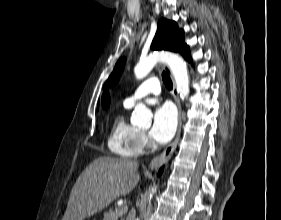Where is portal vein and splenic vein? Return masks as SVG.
Masks as SVG:
<instances>
[{
    "label": "portal vein and splenic vein",
    "instance_id": "portal-vein-and-splenic-vein-1",
    "mask_svg": "<svg viewBox=\"0 0 281 220\" xmlns=\"http://www.w3.org/2000/svg\"><path fill=\"white\" fill-rule=\"evenodd\" d=\"M127 210V207H121L120 214H123Z\"/></svg>",
    "mask_w": 281,
    "mask_h": 220
}]
</instances>
